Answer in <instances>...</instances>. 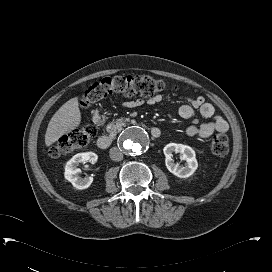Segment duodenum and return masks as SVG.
<instances>
[{
	"instance_id": "duodenum-1",
	"label": "duodenum",
	"mask_w": 272,
	"mask_h": 272,
	"mask_svg": "<svg viewBox=\"0 0 272 272\" xmlns=\"http://www.w3.org/2000/svg\"><path fill=\"white\" fill-rule=\"evenodd\" d=\"M100 115H101V112L100 110H96L93 114V118L95 121H99L100 120ZM128 125V123L125 122V126ZM150 134L153 138H158L160 137L161 135V131L159 128L155 127V126H152L150 128ZM112 141H113V137L110 136V135H103V136H100L98 139H97V146L100 148V149H106L108 148L111 144H112Z\"/></svg>"
}]
</instances>
